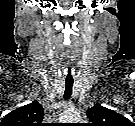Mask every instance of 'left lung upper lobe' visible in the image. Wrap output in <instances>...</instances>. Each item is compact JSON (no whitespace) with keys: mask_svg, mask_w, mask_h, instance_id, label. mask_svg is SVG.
Wrapping results in <instances>:
<instances>
[{"mask_svg":"<svg viewBox=\"0 0 135 126\" xmlns=\"http://www.w3.org/2000/svg\"><path fill=\"white\" fill-rule=\"evenodd\" d=\"M87 117L91 120V126H124L128 119L113 110L95 104L87 110Z\"/></svg>","mask_w":135,"mask_h":126,"instance_id":"obj_1","label":"left lung upper lobe"}]
</instances>
